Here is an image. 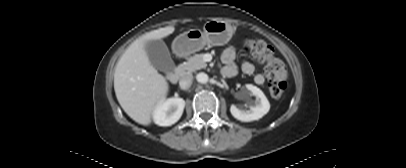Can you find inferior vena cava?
<instances>
[{"label": "inferior vena cava", "instance_id": "602c4592", "mask_svg": "<svg viewBox=\"0 0 406 168\" xmlns=\"http://www.w3.org/2000/svg\"><path fill=\"white\" fill-rule=\"evenodd\" d=\"M193 80V75L192 74H185L181 77L180 81H179V85L182 89H187L188 87H190L191 83Z\"/></svg>", "mask_w": 406, "mask_h": 168}]
</instances>
